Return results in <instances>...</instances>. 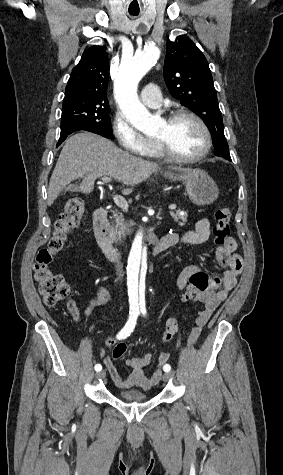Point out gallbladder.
<instances>
[{
    "instance_id": "1",
    "label": "gallbladder",
    "mask_w": 283,
    "mask_h": 475,
    "mask_svg": "<svg viewBox=\"0 0 283 475\" xmlns=\"http://www.w3.org/2000/svg\"><path fill=\"white\" fill-rule=\"evenodd\" d=\"M65 192H78V186H76V184H69V186L65 188Z\"/></svg>"
}]
</instances>
